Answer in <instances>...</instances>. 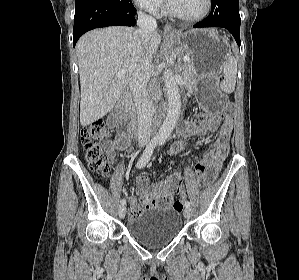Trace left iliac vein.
<instances>
[{
	"instance_id": "obj_1",
	"label": "left iliac vein",
	"mask_w": 299,
	"mask_h": 280,
	"mask_svg": "<svg viewBox=\"0 0 299 280\" xmlns=\"http://www.w3.org/2000/svg\"><path fill=\"white\" fill-rule=\"evenodd\" d=\"M191 209H190V207H186L185 209H184V216L186 217V218H190L191 217Z\"/></svg>"
}]
</instances>
